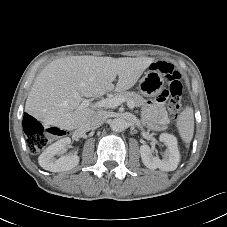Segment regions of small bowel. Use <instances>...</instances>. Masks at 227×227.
I'll return each mask as SVG.
<instances>
[{
    "label": "small bowel",
    "instance_id": "small-bowel-1",
    "mask_svg": "<svg viewBox=\"0 0 227 227\" xmlns=\"http://www.w3.org/2000/svg\"><path fill=\"white\" fill-rule=\"evenodd\" d=\"M170 97L171 92L169 90H164L162 94L155 99V101H149L147 104L150 117L161 125L166 124L168 121L164 103H167Z\"/></svg>",
    "mask_w": 227,
    "mask_h": 227
}]
</instances>
